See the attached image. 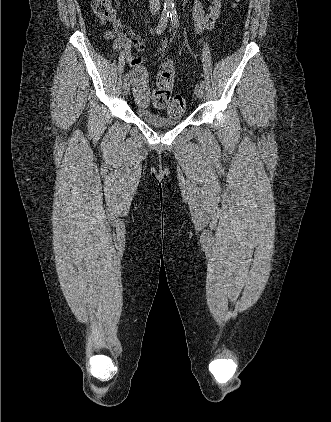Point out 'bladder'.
<instances>
[{
  "instance_id": "31cf9c89",
  "label": "bladder",
  "mask_w": 331,
  "mask_h": 422,
  "mask_svg": "<svg viewBox=\"0 0 331 422\" xmlns=\"http://www.w3.org/2000/svg\"><path fill=\"white\" fill-rule=\"evenodd\" d=\"M135 113L139 119L153 127L176 126L183 120V116L170 117L144 108H137Z\"/></svg>"
}]
</instances>
